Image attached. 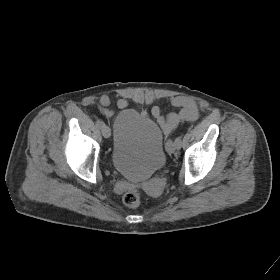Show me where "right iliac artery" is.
I'll return each mask as SVG.
<instances>
[{"label":"right iliac artery","mask_w":280,"mask_h":280,"mask_svg":"<svg viewBox=\"0 0 280 280\" xmlns=\"http://www.w3.org/2000/svg\"><path fill=\"white\" fill-rule=\"evenodd\" d=\"M105 124H104V122L102 121V120H100V119H98L97 121H96V126L98 127V128H101V127H103Z\"/></svg>","instance_id":"82829eb1"}]
</instances>
